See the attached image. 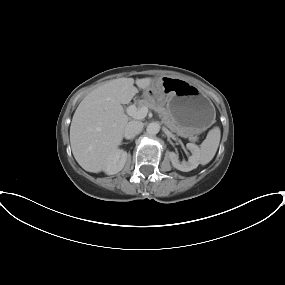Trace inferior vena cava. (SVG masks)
Segmentation results:
<instances>
[{
    "instance_id": "inferior-vena-cava-1",
    "label": "inferior vena cava",
    "mask_w": 285,
    "mask_h": 285,
    "mask_svg": "<svg viewBox=\"0 0 285 285\" xmlns=\"http://www.w3.org/2000/svg\"><path fill=\"white\" fill-rule=\"evenodd\" d=\"M143 129V123L140 121H130L124 130V136L128 139L133 138L139 134Z\"/></svg>"
}]
</instances>
